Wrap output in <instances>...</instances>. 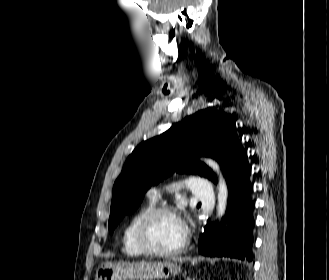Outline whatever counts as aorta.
I'll return each instance as SVG.
<instances>
[{"instance_id": "aorta-1", "label": "aorta", "mask_w": 329, "mask_h": 280, "mask_svg": "<svg viewBox=\"0 0 329 280\" xmlns=\"http://www.w3.org/2000/svg\"><path fill=\"white\" fill-rule=\"evenodd\" d=\"M205 162L218 175L219 182H218L217 217L220 219L226 211L227 199H228V188H227L225 179L220 171L219 165L211 159H206Z\"/></svg>"}]
</instances>
